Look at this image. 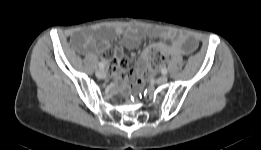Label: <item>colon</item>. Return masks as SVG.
Listing matches in <instances>:
<instances>
[{
    "mask_svg": "<svg viewBox=\"0 0 261 150\" xmlns=\"http://www.w3.org/2000/svg\"><path fill=\"white\" fill-rule=\"evenodd\" d=\"M146 58L147 65L140 69V74L136 78V86L142 85L149 75L164 63L166 56L161 47L153 46L147 51Z\"/></svg>",
    "mask_w": 261,
    "mask_h": 150,
    "instance_id": "1",
    "label": "colon"
}]
</instances>
